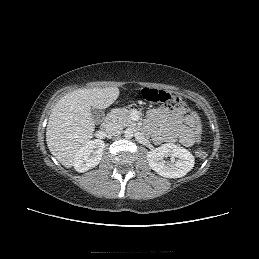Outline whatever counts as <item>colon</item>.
Segmentation results:
<instances>
[{
	"label": "colon",
	"mask_w": 259,
	"mask_h": 259,
	"mask_svg": "<svg viewBox=\"0 0 259 259\" xmlns=\"http://www.w3.org/2000/svg\"><path fill=\"white\" fill-rule=\"evenodd\" d=\"M144 100L150 103H176L181 106L184 100L179 95L171 94L164 90L145 88L141 92ZM189 114L191 115V124L193 125L194 142L200 143L204 139L202 133V125L200 118L198 117L197 110L195 108L189 109ZM196 155L200 159L207 157L208 153L205 149L200 148L197 150Z\"/></svg>",
	"instance_id": "1"
}]
</instances>
